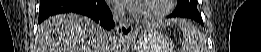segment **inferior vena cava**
Returning <instances> with one entry per match:
<instances>
[{
	"mask_svg": "<svg viewBox=\"0 0 261 52\" xmlns=\"http://www.w3.org/2000/svg\"><path fill=\"white\" fill-rule=\"evenodd\" d=\"M113 20L118 23L124 17V9L121 6H116L112 9ZM104 52H109V47L104 48Z\"/></svg>",
	"mask_w": 261,
	"mask_h": 52,
	"instance_id": "1",
	"label": "inferior vena cava"
}]
</instances>
